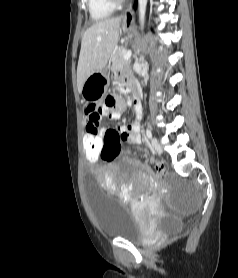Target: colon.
I'll return each mask as SVG.
<instances>
[{"instance_id": "1", "label": "colon", "mask_w": 238, "mask_h": 278, "mask_svg": "<svg viewBox=\"0 0 238 278\" xmlns=\"http://www.w3.org/2000/svg\"><path fill=\"white\" fill-rule=\"evenodd\" d=\"M106 100H116L108 96ZM105 137H83V149L86 162H99V159L113 161L122 153L121 144L113 141L111 144H104ZM155 168L160 174H165L166 169L161 161L155 162Z\"/></svg>"}]
</instances>
